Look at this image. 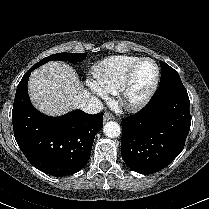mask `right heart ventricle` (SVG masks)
<instances>
[{
  "label": "right heart ventricle",
  "mask_w": 209,
  "mask_h": 209,
  "mask_svg": "<svg viewBox=\"0 0 209 209\" xmlns=\"http://www.w3.org/2000/svg\"><path fill=\"white\" fill-rule=\"evenodd\" d=\"M139 59L137 56L118 55L103 60L94 72L97 84L105 93L117 94L129 68Z\"/></svg>",
  "instance_id": "right-heart-ventricle-1"
}]
</instances>
